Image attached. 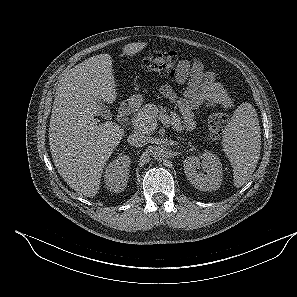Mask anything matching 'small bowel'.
I'll return each mask as SVG.
<instances>
[{
	"label": "small bowel",
	"mask_w": 297,
	"mask_h": 297,
	"mask_svg": "<svg viewBox=\"0 0 297 297\" xmlns=\"http://www.w3.org/2000/svg\"><path fill=\"white\" fill-rule=\"evenodd\" d=\"M174 81L185 86L178 93L171 85L164 83L160 87L161 95L175 103L183 118L186 129L195 125V111L202 106L231 109L234 102L227 90L219 83L215 75L205 69L199 59H182L176 69Z\"/></svg>",
	"instance_id": "c3829d8e"
}]
</instances>
